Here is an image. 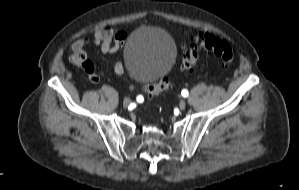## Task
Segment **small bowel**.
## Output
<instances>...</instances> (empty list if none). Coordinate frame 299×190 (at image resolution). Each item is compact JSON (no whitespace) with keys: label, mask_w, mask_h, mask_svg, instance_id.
<instances>
[{"label":"small bowel","mask_w":299,"mask_h":190,"mask_svg":"<svg viewBox=\"0 0 299 190\" xmlns=\"http://www.w3.org/2000/svg\"><path fill=\"white\" fill-rule=\"evenodd\" d=\"M187 33V32H186ZM128 34L125 30H115L111 27H102L94 32L91 36H86L74 44V48H83L88 45H95L101 49L104 54H114L120 51L127 40ZM113 70L116 74L122 75L125 72L123 63L114 59ZM89 78L93 82L99 80V76L95 71L89 74Z\"/></svg>","instance_id":"small-bowel-1"}]
</instances>
